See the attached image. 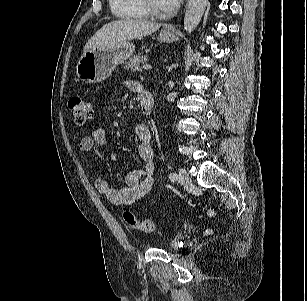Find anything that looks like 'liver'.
I'll use <instances>...</instances> for the list:
<instances>
[{"label": "liver", "mask_w": 307, "mask_h": 301, "mask_svg": "<svg viewBox=\"0 0 307 301\" xmlns=\"http://www.w3.org/2000/svg\"><path fill=\"white\" fill-rule=\"evenodd\" d=\"M161 27L160 23L144 20H117L105 24L84 46V52L95 47L105 48L125 41L148 36Z\"/></svg>", "instance_id": "liver-1"}]
</instances>
